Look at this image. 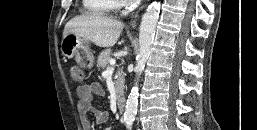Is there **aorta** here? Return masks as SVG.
<instances>
[{
	"instance_id": "obj_1",
	"label": "aorta",
	"mask_w": 257,
	"mask_h": 130,
	"mask_svg": "<svg viewBox=\"0 0 257 130\" xmlns=\"http://www.w3.org/2000/svg\"><path fill=\"white\" fill-rule=\"evenodd\" d=\"M159 14H160V3L154 1L148 6V8L146 9L142 17V21L140 25V33H139V53L136 56V67H135L137 78L128 96L126 107H125V113H124V121L128 129L132 127L133 122L135 120L136 113H137L138 95H139L138 81L150 55V50L153 43Z\"/></svg>"
}]
</instances>
